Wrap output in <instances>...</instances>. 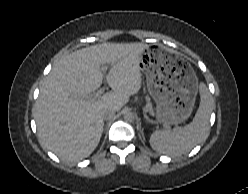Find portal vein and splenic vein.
I'll return each instance as SVG.
<instances>
[{"label":"portal vein and splenic vein","mask_w":248,"mask_h":194,"mask_svg":"<svg viewBox=\"0 0 248 194\" xmlns=\"http://www.w3.org/2000/svg\"><path fill=\"white\" fill-rule=\"evenodd\" d=\"M107 68H108V66H103V68H102L103 72H106ZM106 78H108V75H107ZM105 89H106V87H103V88L99 89L97 92H95L94 94H92L90 96H84V98H88L89 100L94 101V100H96V99L101 97V95L103 94Z\"/></svg>","instance_id":"1"}]
</instances>
